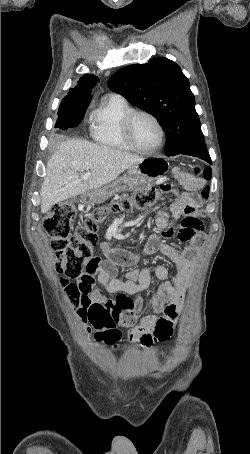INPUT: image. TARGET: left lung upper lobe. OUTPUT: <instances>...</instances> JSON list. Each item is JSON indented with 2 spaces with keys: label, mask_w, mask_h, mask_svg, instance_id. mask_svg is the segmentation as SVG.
I'll return each instance as SVG.
<instances>
[{
  "label": "left lung upper lobe",
  "mask_w": 250,
  "mask_h": 454,
  "mask_svg": "<svg viewBox=\"0 0 250 454\" xmlns=\"http://www.w3.org/2000/svg\"><path fill=\"white\" fill-rule=\"evenodd\" d=\"M108 86L158 120L167 134V156L204 144L189 81L173 61L157 57L126 66L109 79Z\"/></svg>",
  "instance_id": "obj_1"
}]
</instances>
